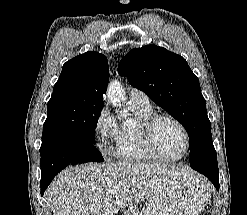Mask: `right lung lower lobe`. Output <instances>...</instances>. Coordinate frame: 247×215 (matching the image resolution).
<instances>
[{
    "label": "right lung lower lobe",
    "mask_w": 247,
    "mask_h": 215,
    "mask_svg": "<svg viewBox=\"0 0 247 215\" xmlns=\"http://www.w3.org/2000/svg\"><path fill=\"white\" fill-rule=\"evenodd\" d=\"M41 195L55 175L67 165L104 161L94 143L77 137H57L40 148Z\"/></svg>",
    "instance_id": "98d812e1"
}]
</instances>
